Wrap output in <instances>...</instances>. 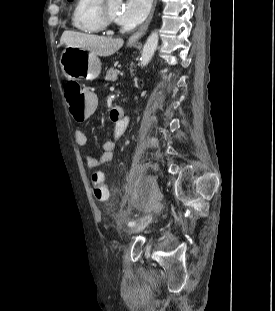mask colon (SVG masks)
I'll list each match as a JSON object with an SVG mask.
<instances>
[{
  "instance_id": "1",
  "label": "colon",
  "mask_w": 275,
  "mask_h": 311,
  "mask_svg": "<svg viewBox=\"0 0 275 311\" xmlns=\"http://www.w3.org/2000/svg\"><path fill=\"white\" fill-rule=\"evenodd\" d=\"M66 99L74 121H89L94 116L97 106L96 92H86L80 85L69 82L66 85ZM91 185L98 201L105 202L109 199V190L100 172L92 174Z\"/></svg>"
}]
</instances>
